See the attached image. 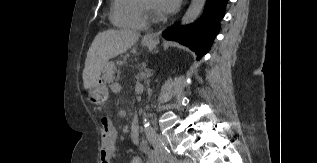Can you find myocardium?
<instances>
[{
	"mask_svg": "<svg viewBox=\"0 0 317 163\" xmlns=\"http://www.w3.org/2000/svg\"><path fill=\"white\" fill-rule=\"evenodd\" d=\"M142 8L146 17H148L150 20L154 22H158L162 20V17L156 14L145 0H142Z\"/></svg>",
	"mask_w": 317,
	"mask_h": 163,
	"instance_id": "1",
	"label": "myocardium"
}]
</instances>
